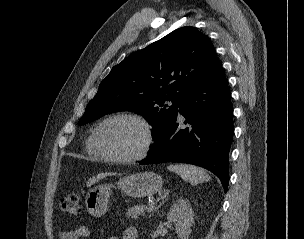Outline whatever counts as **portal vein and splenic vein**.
Segmentation results:
<instances>
[{
    "instance_id": "obj_1",
    "label": "portal vein and splenic vein",
    "mask_w": 304,
    "mask_h": 239,
    "mask_svg": "<svg viewBox=\"0 0 304 239\" xmlns=\"http://www.w3.org/2000/svg\"><path fill=\"white\" fill-rule=\"evenodd\" d=\"M155 208V205L154 204H151L149 206V208L147 209L148 212H151L153 209Z\"/></svg>"
}]
</instances>
